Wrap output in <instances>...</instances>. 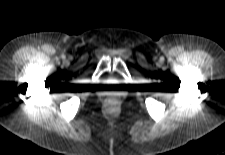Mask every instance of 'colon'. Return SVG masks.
I'll list each match as a JSON object with an SVG mask.
<instances>
[{"label":"colon","instance_id":"obj_1","mask_svg":"<svg viewBox=\"0 0 225 155\" xmlns=\"http://www.w3.org/2000/svg\"><path fill=\"white\" fill-rule=\"evenodd\" d=\"M114 104H115V102H113V101H112V102H110V105H114Z\"/></svg>","mask_w":225,"mask_h":155}]
</instances>
